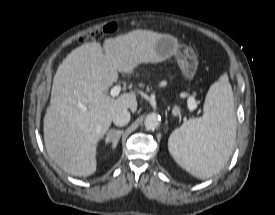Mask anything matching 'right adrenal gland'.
I'll use <instances>...</instances> for the list:
<instances>
[{
    "label": "right adrenal gland",
    "instance_id": "obj_1",
    "mask_svg": "<svg viewBox=\"0 0 275 215\" xmlns=\"http://www.w3.org/2000/svg\"><path fill=\"white\" fill-rule=\"evenodd\" d=\"M122 134L123 130L111 129L105 139V143L108 144L112 142V148L115 149Z\"/></svg>",
    "mask_w": 275,
    "mask_h": 215
}]
</instances>
